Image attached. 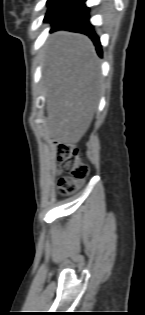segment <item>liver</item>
Segmentation results:
<instances>
[{"label":"liver","instance_id":"obj_1","mask_svg":"<svg viewBox=\"0 0 145 315\" xmlns=\"http://www.w3.org/2000/svg\"><path fill=\"white\" fill-rule=\"evenodd\" d=\"M42 78L50 137L62 144H76L93 120L101 86L91 40L70 32L53 35L43 59Z\"/></svg>","mask_w":145,"mask_h":315}]
</instances>
